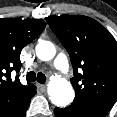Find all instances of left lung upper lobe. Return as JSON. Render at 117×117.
<instances>
[{"label": "left lung upper lobe", "mask_w": 117, "mask_h": 117, "mask_svg": "<svg viewBox=\"0 0 117 117\" xmlns=\"http://www.w3.org/2000/svg\"><path fill=\"white\" fill-rule=\"evenodd\" d=\"M46 21L70 55L72 104L109 111L117 99V41L87 16H49Z\"/></svg>", "instance_id": "5c2ea615"}]
</instances>
